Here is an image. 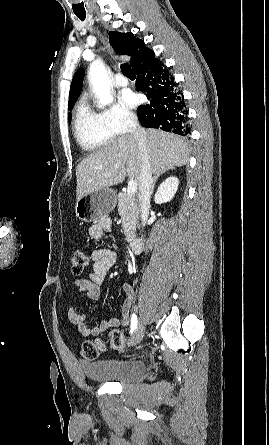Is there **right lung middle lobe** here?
I'll return each mask as SVG.
<instances>
[{"instance_id": "dd1d6c3e", "label": "right lung middle lobe", "mask_w": 269, "mask_h": 445, "mask_svg": "<svg viewBox=\"0 0 269 445\" xmlns=\"http://www.w3.org/2000/svg\"><path fill=\"white\" fill-rule=\"evenodd\" d=\"M72 107H73V104H71V105H68V109H69V110H71V109H72Z\"/></svg>"}]
</instances>
